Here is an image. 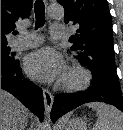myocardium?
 Returning <instances> with one entry per match:
<instances>
[{"mask_svg":"<svg viewBox=\"0 0 123 130\" xmlns=\"http://www.w3.org/2000/svg\"><path fill=\"white\" fill-rule=\"evenodd\" d=\"M92 81L89 69L80 64H73L61 80V87L67 91L86 89Z\"/></svg>","mask_w":123,"mask_h":130,"instance_id":"myocardium-1","label":"myocardium"}]
</instances>
